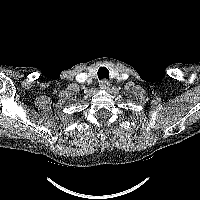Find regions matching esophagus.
<instances>
[{"mask_svg": "<svg viewBox=\"0 0 200 200\" xmlns=\"http://www.w3.org/2000/svg\"><path fill=\"white\" fill-rule=\"evenodd\" d=\"M99 86L102 90H107L110 86V82L106 79H103L99 82Z\"/></svg>", "mask_w": 200, "mask_h": 200, "instance_id": "1", "label": "esophagus"}]
</instances>
